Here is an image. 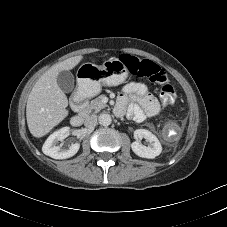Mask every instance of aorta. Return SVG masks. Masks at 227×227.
<instances>
[{
	"mask_svg": "<svg viewBox=\"0 0 227 227\" xmlns=\"http://www.w3.org/2000/svg\"><path fill=\"white\" fill-rule=\"evenodd\" d=\"M112 122V118L108 113H102L99 116V124L102 126H109Z\"/></svg>",
	"mask_w": 227,
	"mask_h": 227,
	"instance_id": "obj_1",
	"label": "aorta"
}]
</instances>
